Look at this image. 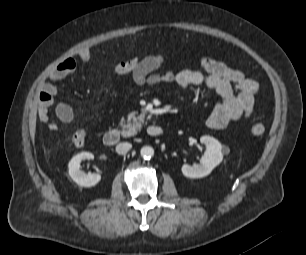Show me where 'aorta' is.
<instances>
[{"label": "aorta", "mask_w": 306, "mask_h": 255, "mask_svg": "<svg viewBox=\"0 0 306 255\" xmlns=\"http://www.w3.org/2000/svg\"><path fill=\"white\" fill-rule=\"evenodd\" d=\"M140 155L142 158L149 160L154 156V149L150 146H144L140 150Z\"/></svg>", "instance_id": "1"}]
</instances>
